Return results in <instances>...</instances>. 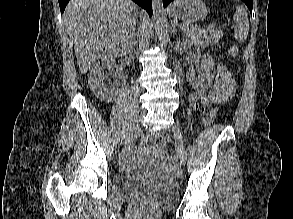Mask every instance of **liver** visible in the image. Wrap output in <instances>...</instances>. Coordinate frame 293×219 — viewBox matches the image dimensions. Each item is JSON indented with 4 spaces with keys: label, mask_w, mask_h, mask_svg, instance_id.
I'll return each instance as SVG.
<instances>
[{
    "label": "liver",
    "mask_w": 293,
    "mask_h": 219,
    "mask_svg": "<svg viewBox=\"0 0 293 219\" xmlns=\"http://www.w3.org/2000/svg\"><path fill=\"white\" fill-rule=\"evenodd\" d=\"M136 14L143 16L131 0H71L67 4L63 21L81 73L98 59L129 53Z\"/></svg>",
    "instance_id": "6515ba94"
}]
</instances>
